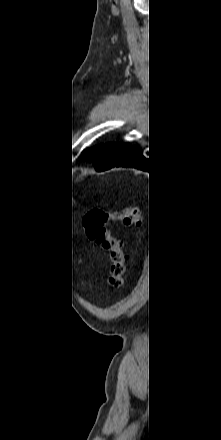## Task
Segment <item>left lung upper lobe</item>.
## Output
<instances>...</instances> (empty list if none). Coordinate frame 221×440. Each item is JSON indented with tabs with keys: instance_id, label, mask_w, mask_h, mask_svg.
<instances>
[{
	"instance_id": "left-lung-upper-lobe-1",
	"label": "left lung upper lobe",
	"mask_w": 221,
	"mask_h": 440,
	"mask_svg": "<svg viewBox=\"0 0 221 440\" xmlns=\"http://www.w3.org/2000/svg\"><path fill=\"white\" fill-rule=\"evenodd\" d=\"M129 148V143H111L85 150L83 154L94 163L97 171H103L120 161Z\"/></svg>"
}]
</instances>
